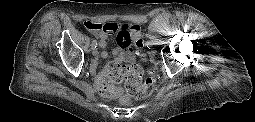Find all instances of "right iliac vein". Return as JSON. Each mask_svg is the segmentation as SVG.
Returning a JSON list of instances; mask_svg holds the SVG:
<instances>
[{
	"label": "right iliac vein",
	"mask_w": 255,
	"mask_h": 122,
	"mask_svg": "<svg viewBox=\"0 0 255 122\" xmlns=\"http://www.w3.org/2000/svg\"><path fill=\"white\" fill-rule=\"evenodd\" d=\"M91 51H92V54L94 56H96L98 54V49H97V45H91Z\"/></svg>",
	"instance_id": "obj_1"
}]
</instances>
